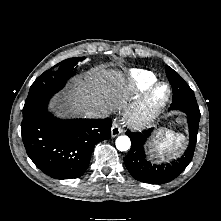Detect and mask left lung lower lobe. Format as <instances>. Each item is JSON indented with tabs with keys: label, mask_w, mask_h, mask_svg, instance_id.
<instances>
[{
	"label": "left lung lower lobe",
	"mask_w": 221,
	"mask_h": 221,
	"mask_svg": "<svg viewBox=\"0 0 221 221\" xmlns=\"http://www.w3.org/2000/svg\"><path fill=\"white\" fill-rule=\"evenodd\" d=\"M173 100L171 110H180L187 114L189 126V146L176 161L156 165L145 159L144 144L153 129L132 133L127 131L132 147L124 163L129 173L137 180L149 184H164L176 178L191 162L197 141L200 111L193 90L185 81H175L172 84Z\"/></svg>",
	"instance_id": "left-lung-lower-lobe-1"
}]
</instances>
